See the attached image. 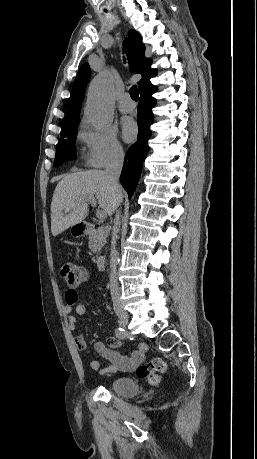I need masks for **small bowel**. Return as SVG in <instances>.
Wrapping results in <instances>:
<instances>
[{
    "label": "small bowel",
    "instance_id": "1",
    "mask_svg": "<svg viewBox=\"0 0 257 459\" xmlns=\"http://www.w3.org/2000/svg\"><path fill=\"white\" fill-rule=\"evenodd\" d=\"M79 296V290L74 287L69 288L65 293V312L68 315V327L71 331H76L78 329L77 316H82L87 312L86 305L78 303ZM73 311L75 313H73ZM74 341L79 350L84 351L88 348V344L81 333L75 336ZM120 346L121 342L115 338L107 339L106 343L96 340L93 344V348L102 357L107 359L109 363L105 368L99 369V361L92 359L89 363L90 368L92 370H98L101 375L112 374L117 371L132 372L143 362L146 347L142 345L138 350L133 351L130 356H125L116 350Z\"/></svg>",
    "mask_w": 257,
    "mask_h": 459
}]
</instances>
